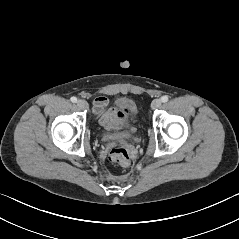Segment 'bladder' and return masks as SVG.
I'll return each mask as SVG.
<instances>
[{
  "mask_svg": "<svg viewBox=\"0 0 239 239\" xmlns=\"http://www.w3.org/2000/svg\"><path fill=\"white\" fill-rule=\"evenodd\" d=\"M121 105L125 106V108L128 110V112L132 115L135 116L137 113V107L135 103L132 100L128 99H123L120 101ZM122 136V132L117 131L111 134H106L104 135L105 139H116Z\"/></svg>",
  "mask_w": 239,
  "mask_h": 239,
  "instance_id": "1",
  "label": "bladder"
}]
</instances>
